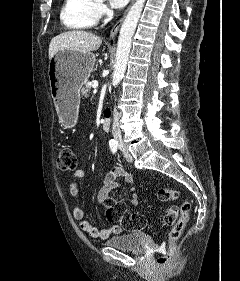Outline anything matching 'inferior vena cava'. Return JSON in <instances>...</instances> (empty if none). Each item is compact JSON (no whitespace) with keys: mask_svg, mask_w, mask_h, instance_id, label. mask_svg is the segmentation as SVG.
Returning a JSON list of instances; mask_svg holds the SVG:
<instances>
[{"mask_svg":"<svg viewBox=\"0 0 240 281\" xmlns=\"http://www.w3.org/2000/svg\"><path fill=\"white\" fill-rule=\"evenodd\" d=\"M119 119H120V114L116 109H114L113 112V127H112V135L113 138L118 142L122 143V135L119 127Z\"/></svg>","mask_w":240,"mask_h":281,"instance_id":"inferior-vena-cava-1","label":"inferior vena cava"}]
</instances>
